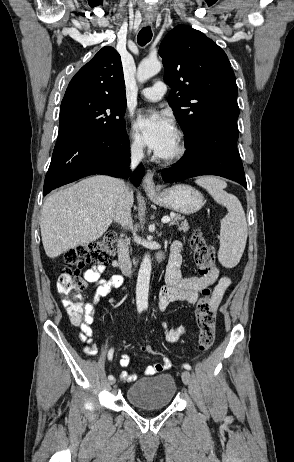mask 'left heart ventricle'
<instances>
[{
  "mask_svg": "<svg viewBox=\"0 0 294 462\" xmlns=\"http://www.w3.org/2000/svg\"><path fill=\"white\" fill-rule=\"evenodd\" d=\"M176 149V139L174 140V142L171 144V146L169 147V149L167 150V152L164 154V156H167V155H170L171 153H173Z\"/></svg>",
  "mask_w": 294,
  "mask_h": 462,
  "instance_id": "left-heart-ventricle-1",
  "label": "left heart ventricle"
}]
</instances>
